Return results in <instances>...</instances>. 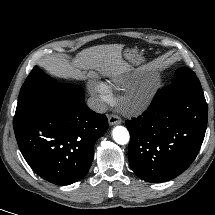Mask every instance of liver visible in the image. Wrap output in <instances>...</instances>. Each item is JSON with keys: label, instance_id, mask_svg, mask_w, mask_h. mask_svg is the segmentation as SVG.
Instances as JSON below:
<instances>
[{"label": "liver", "instance_id": "1", "mask_svg": "<svg viewBox=\"0 0 215 215\" xmlns=\"http://www.w3.org/2000/svg\"><path fill=\"white\" fill-rule=\"evenodd\" d=\"M123 45H99L78 53L71 61L50 60L44 67L57 77L80 78L87 70H96L108 77H120L131 70L122 57Z\"/></svg>", "mask_w": 215, "mask_h": 215}]
</instances>
